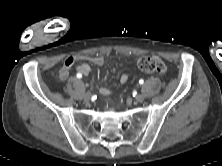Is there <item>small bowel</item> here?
<instances>
[{
    "instance_id": "small-bowel-1",
    "label": "small bowel",
    "mask_w": 222,
    "mask_h": 166,
    "mask_svg": "<svg viewBox=\"0 0 222 166\" xmlns=\"http://www.w3.org/2000/svg\"><path fill=\"white\" fill-rule=\"evenodd\" d=\"M76 61H81V63L77 67V70L80 74H83V76L85 77H89L91 73V67L89 64H94L99 66L104 64V58L102 56H86V55L70 56L64 61L60 69V77L62 79L68 77L70 70ZM127 81H128V75L122 74L120 77V83L125 84ZM100 93L103 96H107L109 95L110 91L108 88L102 87L100 89Z\"/></svg>"
}]
</instances>
